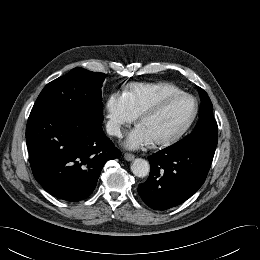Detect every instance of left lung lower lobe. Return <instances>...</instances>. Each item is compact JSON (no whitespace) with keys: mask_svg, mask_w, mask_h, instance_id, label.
I'll return each mask as SVG.
<instances>
[{"mask_svg":"<svg viewBox=\"0 0 260 260\" xmlns=\"http://www.w3.org/2000/svg\"><path fill=\"white\" fill-rule=\"evenodd\" d=\"M215 149L173 144L148 157L150 174L138 193L154 210H167L191 197L204 183Z\"/></svg>","mask_w":260,"mask_h":260,"instance_id":"obj_1","label":"left lung lower lobe"}]
</instances>
